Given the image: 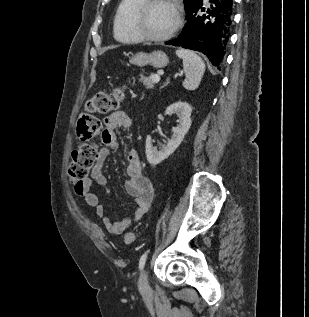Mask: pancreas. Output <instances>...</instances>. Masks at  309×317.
Returning <instances> with one entry per match:
<instances>
[{
  "label": "pancreas",
  "mask_w": 309,
  "mask_h": 317,
  "mask_svg": "<svg viewBox=\"0 0 309 317\" xmlns=\"http://www.w3.org/2000/svg\"><path fill=\"white\" fill-rule=\"evenodd\" d=\"M152 75L141 76L139 79L148 89H153V87L155 85V82H153V80H152Z\"/></svg>",
  "instance_id": "pancreas-1"
}]
</instances>
